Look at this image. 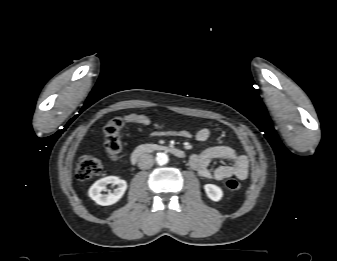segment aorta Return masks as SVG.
Returning a JSON list of instances; mask_svg holds the SVG:
<instances>
[{"label": "aorta", "instance_id": "aorta-1", "mask_svg": "<svg viewBox=\"0 0 337 261\" xmlns=\"http://www.w3.org/2000/svg\"><path fill=\"white\" fill-rule=\"evenodd\" d=\"M168 155L166 153H158L156 155V162L159 165H165L168 163Z\"/></svg>", "mask_w": 337, "mask_h": 261}]
</instances>
